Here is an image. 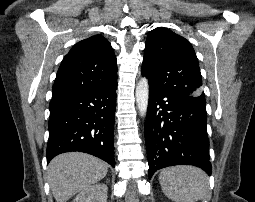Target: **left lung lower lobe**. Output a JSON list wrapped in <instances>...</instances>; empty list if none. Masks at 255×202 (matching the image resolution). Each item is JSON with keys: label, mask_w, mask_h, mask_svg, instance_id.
<instances>
[{"label": "left lung lower lobe", "mask_w": 255, "mask_h": 202, "mask_svg": "<svg viewBox=\"0 0 255 202\" xmlns=\"http://www.w3.org/2000/svg\"><path fill=\"white\" fill-rule=\"evenodd\" d=\"M145 141L149 178L172 165L197 166L211 175L205 102L149 86Z\"/></svg>", "instance_id": "0a47b994"}]
</instances>
